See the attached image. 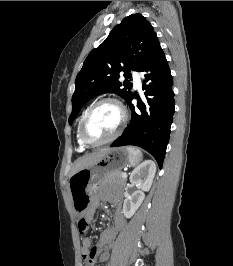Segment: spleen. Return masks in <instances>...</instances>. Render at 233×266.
Segmentation results:
<instances>
[{"label": "spleen", "instance_id": "3e777b00", "mask_svg": "<svg viewBox=\"0 0 233 266\" xmlns=\"http://www.w3.org/2000/svg\"><path fill=\"white\" fill-rule=\"evenodd\" d=\"M127 150L132 157V165H137L142 160V152L135 147H127Z\"/></svg>", "mask_w": 233, "mask_h": 266}]
</instances>
